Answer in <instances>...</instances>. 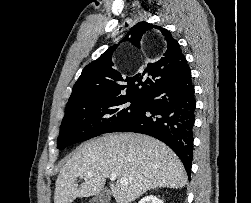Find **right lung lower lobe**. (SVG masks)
Listing matches in <instances>:
<instances>
[{
    "instance_id": "1",
    "label": "right lung lower lobe",
    "mask_w": 251,
    "mask_h": 203,
    "mask_svg": "<svg viewBox=\"0 0 251 203\" xmlns=\"http://www.w3.org/2000/svg\"><path fill=\"white\" fill-rule=\"evenodd\" d=\"M195 108L188 67L177 78L152 89L143 99L142 108L113 132H136L157 138L178 155L190 176Z\"/></svg>"
}]
</instances>
